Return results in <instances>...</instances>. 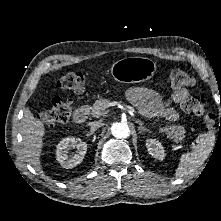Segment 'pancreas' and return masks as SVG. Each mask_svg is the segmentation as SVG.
Returning a JSON list of instances; mask_svg holds the SVG:
<instances>
[{"label": "pancreas", "instance_id": "obj_1", "mask_svg": "<svg viewBox=\"0 0 221 221\" xmlns=\"http://www.w3.org/2000/svg\"><path fill=\"white\" fill-rule=\"evenodd\" d=\"M109 99L96 100L91 108V114L93 117L104 116L107 114V108L109 107ZM159 131L164 132L167 137L173 139L175 142H179L184 138L185 129L181 125H168L160 127Z\"/></svg>", "mask_w": 221, "mask_h": 221}]
</instances>
